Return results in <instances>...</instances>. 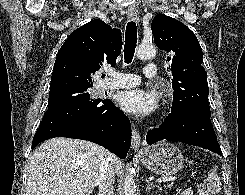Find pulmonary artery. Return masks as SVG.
<instances>
[{"mask_svg":"<svg viewBox=\"0 0 245 195\" xmlns=\"http://www.w3.org/2000/svg\"><path fill=\"white\" fill-rule=\"evenodd\" d=\"M156 65L149 63L145 67V77L150 79L156 76ZM140 84V79L137 75L124 72H113L109 75V78L101 83L103 89H125L132 88Z\"/></svg>","mask_w":245,"mask_h":195,"instance_id":"e3ab8cb5","label":"pulmonary artery"}]
</instances>
